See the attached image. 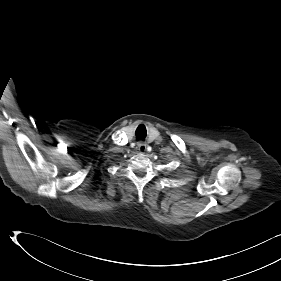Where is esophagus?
I'll return each instance as SVG.
<instances>
[{
  "mask_svg": "<svg viewBox=\"0 0 281 281\" xmlns=\"http://www.w3.org/2000/svg\"><path fill=\"white\" fill-rule=\"evenodd\" d=\"M137 146H138V150H139L141 153H143V152L146 151V144H145V143H138Z\"/></svg>",
  "mask_w": 281,
  "mask_h": 281,
  "instance_id": "obj_1",
  "label": "esophagus"
}]
</instances>
